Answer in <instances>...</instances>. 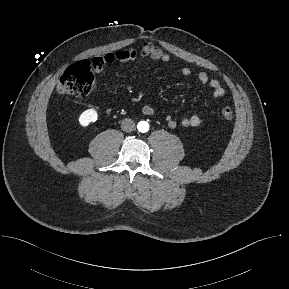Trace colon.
I'll return each instance as SVG.
<instances>
[{
  "label": "colon",
  "mask_w": 289,
  "mask_h": 289,
  "mask_svg": "<svg viewBox=\"0 0 289 289\" xmlns=\"http://www.w3.org/2000/svg\"><path fill=\"white\" fill-rule=\"evenodd\" d=\"M94 86L92 64L88 61H79L64 72L58 81L57 90L64 95L84 97L93 91ZM220 113L225 120H232L234 117V112L229 106L223 107Z\"/></svg>",
  "instance_id": "colon-1"
}]
</instances>
